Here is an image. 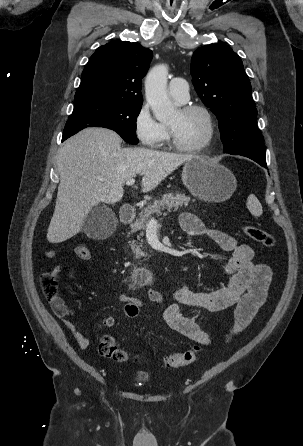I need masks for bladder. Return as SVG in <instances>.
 Instances as JSON below:
<instances>
[{
    "label": "bladder",
    "mask_w": 303,
    "mask_h": 446,
    "mask_svg": "<svg viewBox=\"0 0 303 446\" xmlns=\"http://www.w3.org/2000/svg\"><path fill=\"white\" fill-rule=\"evenodd\" d=\"M136 381L144 383V382L149 381V377L145 374H138V375H136Z\"/></svg>",
    "instance_id": "1"
}]
</instances>
